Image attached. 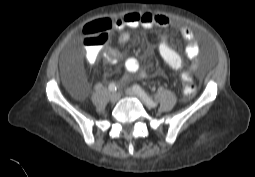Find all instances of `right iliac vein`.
Here are the masks:
<instances>
[{"mask_svg": "<svg viewBox=\"0 0 255 177\" xmlns=\"http://www.w3.org/2000/svg\"><path fill=\"white\" fill-rule=\"evenodd\" d=\"M120 99V93L119 92H114L110 96V101L112 103H116Z\"/></svg>", "mask_w": 255, "mask_h": 177, "instance_id": "1", "label": "right iliac vein"}]
</instances>
